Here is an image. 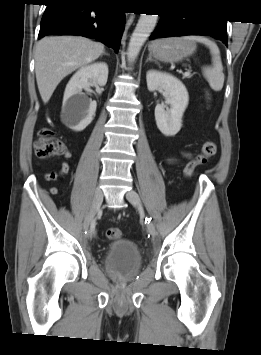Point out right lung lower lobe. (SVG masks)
<instances>
[{
  "label": "right lung lower lobe",
  "mask_w": 261,
  "mask_h": 355,
  "mask_svg": "<svg viewBox=\"0 0 261 355\" xmlns=\"http://www.w3.org/2000/svg\"><path fill=\"white\" fill-rule=\"evenodd\" d=\"M38 38L46 35L75 34L96 38L119 50L125 26V12L103 7L88 0H46Z\"/></svg>",
  "instance_id": "obj_1"
}]
</instances>
